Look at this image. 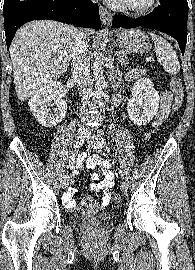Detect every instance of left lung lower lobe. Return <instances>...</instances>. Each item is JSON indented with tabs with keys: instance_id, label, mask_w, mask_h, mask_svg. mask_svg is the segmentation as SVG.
<instances>
[{
	"instance_id": "left-lung-lower-lobe-1",
	"label": "left lung lower lobe",
	"mask_w": 195,
	"mask_h": 270,
	"mask_svg": "<svg viewBox=\"0 0 195 270\" xmlns=\"http://www.w3.org/2000/svg\"><path fill=\"white\" fill-rule=\"evenodd\" d=\"M187 0H160V5L144 17L129 18L119 16L113 19L114 27L135 28L145 27L156 29L174 37L184 54L187 42Z\"/></svg>"
}]
</instances>
